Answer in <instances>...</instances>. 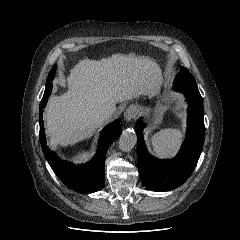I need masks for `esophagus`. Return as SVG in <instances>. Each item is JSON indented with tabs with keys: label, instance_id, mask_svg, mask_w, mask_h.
<instances>
[{
	"label": "esophagus",
	"instance_id": "obj_1",
	"mask_svg": "<svg viewBox=\"0 0 240 240\" xmlns=\"http://www.w3.org/2000/svg\"><path fill=\"white\" fill-rule=\"evenodd\" d=\"M136 116V108L135 107H129L125 112H124V120L129 122L132 119H134Z\"/></svg>",
	"mask_w": 240,
	"mask_h": 240
}]
</instances>
